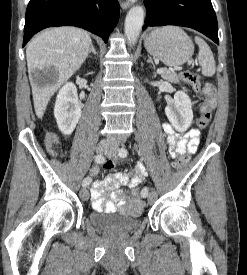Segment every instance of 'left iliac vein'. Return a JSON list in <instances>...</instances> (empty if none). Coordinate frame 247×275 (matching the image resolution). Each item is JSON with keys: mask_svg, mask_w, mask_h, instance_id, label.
<instances>
[{"mask_svg": "<svg viewBox=\"0 0 247 275\" xmlns=\"http://www.w3.org/2000/svg\"><path fill=\"white\" fill-rule=\"evenodd\" d=\"M117 151H118V145L117 144H113L111 146V148L108 150V152L106 153V155L109 157V158H112V159H116L117 158ZM142 196L145 198L148 196V194L146 193V190L143 189L142 191ZM157 197V194L156 192H152L148 198V201L149 202H154L155 199Z\"/></svg>", "mask_w": 247, "mask_h": 275, "instance_id": "1", "label": "left iliac vein"}]
</instances>
